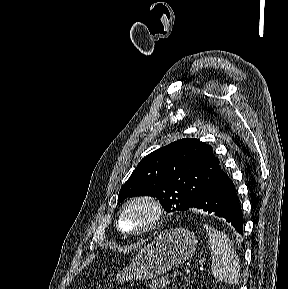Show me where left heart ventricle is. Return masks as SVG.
<instances>
[{"label": "left heart ventricle", "mask_w": 288, "mask_h": 289, "mask_svg": "<svg viewBox=\"0 0 288 289\" xmlns=\"http://www.w3.org/2000/svg\"><path fill=\"white\" fill-rule=\"evenodd\" d=\"M150 217L149 211L144 206H133L127 209L121 218V227L125 231H134L145 225Z\"/></svg>", "instance_id": "1"}]
</instances>
